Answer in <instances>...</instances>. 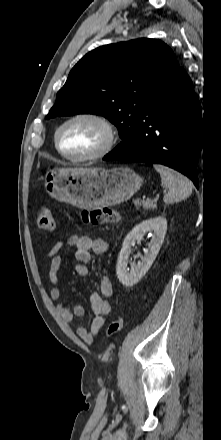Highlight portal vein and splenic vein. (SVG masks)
<instances>
[{
  "label": "portal vein and splenic vein",
  "mask_w": 221,
  "mask_h": 440,
  "mask_svg": "<svg viewBox=\"0 0 221 440\" xmlns=\"http://www.w3.org/2000/svg\"><path fill=\"white\" fill-rule=\"evenodd\" d=\"M159 196H160L159 194H156V196H155V198H154V201H155V202H157V201H158V199H159Z\"/></svg>",
  "instance_id": "portal-vein-and-splenic-vein-1"
}]
</instances>
